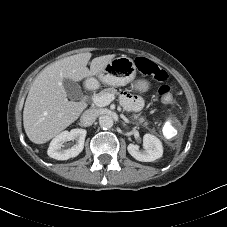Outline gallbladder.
<instances>
[{
	"mask_svg": "<svg viewBox=\"0 0 227 227\" xmlns=\"http://www.w3.org/2000/svg\"><path fill=\"white\" fill-rule=\"evenodd\" d=\"M63 87L71 99H76L81 95V87L70 79L63 80Z\"/></svg>",
	"mask_w": 227,
	"mask_h": 227,
	"instance_id": "gallbladder-1",
	"label": "gallbladder"
}]
</instances>
